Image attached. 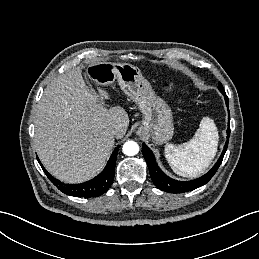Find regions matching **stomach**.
Returning <instances> with one entry per match:
<instances>
[{"mask_svg": "<svg viewBox=\"0 0 259 259\" xmlns=\"http://www.w3.org/2000/svg\"><path fill=\"white\" fill-rule=\"evenodd\" d=\"M85 75L97 85H111L118 81L120 88L140 108L143 121L137 134L150 136L156 144L173 137L172 111L152 89L140 69L127 63L96 62L86 67Z\"/></svg>", "mask_w": 259, "mask_h": 259, "instance_id": "stomach-1", "label": "stomach"}]
</instances>
